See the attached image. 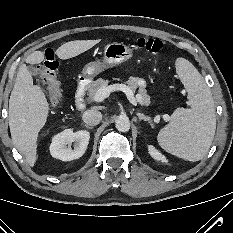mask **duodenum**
<instances>
[{
  "mask_svg": "<svg viewBox=\"0 0 233 233\" xmlns=\"http://www.w3.org/2000/svg\"><path fill=\"white\" fill-rule=\"evenodd\" d=\"M87 81L84 78L79 79L76 85L75 91V104L78 111H82L85 109V93L87 89Z\"/></svg>",
  "mask_w": 233,
  "mask_h": 233,
  "instance_id": "410a0bca",
  "label": "duodenum"
}]
</instances>
